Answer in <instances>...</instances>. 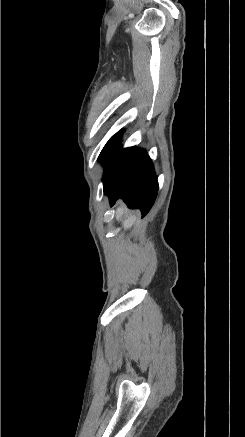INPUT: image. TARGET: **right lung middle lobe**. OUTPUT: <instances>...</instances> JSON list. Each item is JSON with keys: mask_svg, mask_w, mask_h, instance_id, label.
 <instances>
[{"mask_svg": "<svg viewBox=\"0 0 245 437\" xmlns=\"http://www.w3.org/2000/svg\"><path fill=\"white\" fill-rule=\"evenodd\" d=\"M121 136H122V130H120L110 138V140L104 146L103 150L101 151L98 157L99 161H101L104 164L107 162V160L110 158L114 150L119 146L121 141Z\"/></svg>", "mask_w": 245, "mask_h": 437, "instance_id": "right-lung-middle-lobe-1", "label": "right lung middle lobe"}]
</instances>
